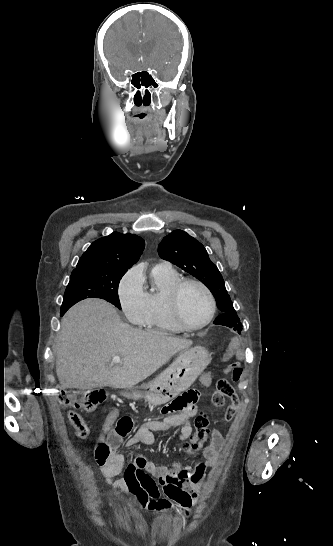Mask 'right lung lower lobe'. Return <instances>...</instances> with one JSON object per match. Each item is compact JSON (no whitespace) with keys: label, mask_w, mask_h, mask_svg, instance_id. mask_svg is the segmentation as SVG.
Masks as SVG:
<instances>
[{"label":"right lung lower lobe","mask_w":333,"mask_h":546,"mask_svg":"<svg viewBox=\"0 0 333 546\" xmlns=\"http://www.w3.org/2000/svg\"><path fill=\"white\" fill-rule=\"evenodd\" d=\"M65 312H66L65 310H64V311H61V316H63Z\"/></svg>","instance_id":"98d812e1"}]
</instances>
